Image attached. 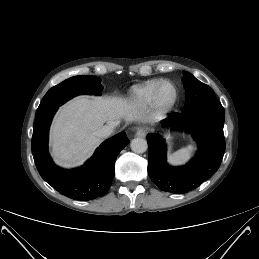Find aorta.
<instances>
[{"mask_svg":"<svg viewBox=\"0 0 259 259\" xmlns=\"http://www.w3.org/2000/svg\"><path fill=\"white\" fill-rule=\"evenodd\" d=\"M130 147L133 152L141 154L147 150L148 145L144 138L137 137L131 141Z\"/></svg>","mask_w":259,"mask_h":259,"instance_id":"obj_1","label":"aorta"}]
</instances>
